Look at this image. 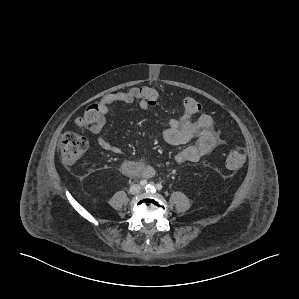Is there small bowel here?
Masks as SVG:
<instances>
[{
  "mask_svg": "<svg viewBox=\"0 0 299 299\" xmlns=\"http://www.w3.org/2000/svg\"><path fill=\"white\" fill-rule=\"evenodd\" d=\"M140 88L133 87L127 91H118L104 95L98 105L100 107L99 120L89 127L92 134L96 135L97 144L104 150L119 154L120 148L104 137L100 133L106 123V116L109 107L114 103H125L137 105L140 109L147 111L153 106L146 103L140 94ZM164 140L171 145H182L195 140L175 154L176 163L196 162L209 154L218 144L222 142L221 135L214 129V122L210 115L202 113L195 120L181 115L178 118H169L168 127L163 132ZM138 173L136 175L149 178L155 174V169L145 162H138Z\"/></svg>",
  "mask_w": 299,
  "mask_h": 299,
  "instance_id": "c3829d8e",
  "label": "small bowel"
}]
</instances>
